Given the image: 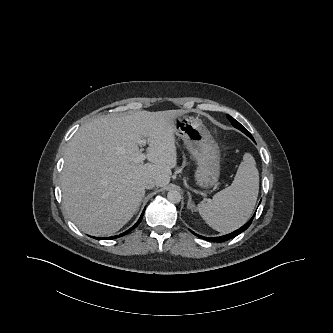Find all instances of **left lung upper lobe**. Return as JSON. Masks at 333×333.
I'll list each match as a JSON object with an SVG mask.
<instances>
[{
    "mask_svg": "<svg viewBox=\"0 0 333 333\" xmlns=\"http://www.w3.org/2000/svg\"><path fill=\"white\" fill-rule=\"evenodd\" d=\"M227 118L229 119V121L232 123V125L241 130L243 133H245L248 137H250L253 141V137L252 135L248 132V130H246L238 121H236L234 118H232L230 115H227Z\"/></svg>",
    "mask_w": 333,
    "mask_h": 333,
    "instance_id": "obj_1",
    "label": "left lung upper lobe"
}]
</instances>
